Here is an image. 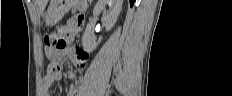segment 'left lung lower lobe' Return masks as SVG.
<instances>
[{
    "label": "left lung lower lobe",
    "mask_w": 232,
    "mask_h": 96,
    "mask_svg": "<svg viewBox=\"0 0 232 96\" xmlns=\"http://www.w3.org/2000/svg\"><path fill=\"white\" fill-rule=\"evenodd\" d=\"M129 1H130V5L132 6L135 0H129Z\"/></svg>",
    "instance_id": "1"
}]
</instances>
